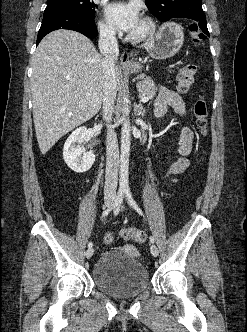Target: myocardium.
Instances as JSON below:
<instances>
[{"label": "myocardium", "mask_w": 247, "mask_h": 332, "mask_svg": "<svg viewBox=\"0 0 247 332\" xmlns=\"http://www.w3.org/2000/svg\"><path fill=\"white\" fill-rule=\"evenodd\" d=\"M142 22L145 25V28L142 32L137 33V34H130L128 36V39L132 42V43H141L145 40H147L148 38H150L156 30V24L154 22V20L149 17V16H143L141 18Z\"/></svg>", "instance_id": "f54148a6"}]
</instances>
